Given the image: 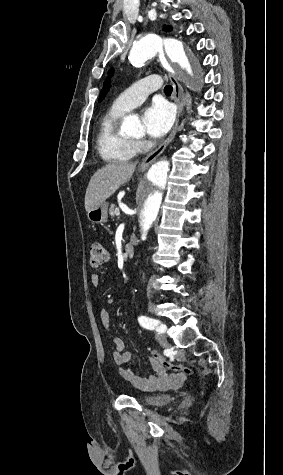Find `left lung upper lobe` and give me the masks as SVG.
<instances>
[{
	"label": "left lung upper lobe",
	"instance_id": "5c2ea615",
	"mask_svg": "<svg viewBox=\"0 0 283 475\" xmlns=\"http://www.w3.org/2000/svg\"><path fill=\"white\" fill-rule=\"evenodd\" d=\"M164 30H165V31L171 30V27H169V26H164ZM113 73H114V70L111 69V70L108 72L109 77L113 76ZM110 87H111V86H110V79H108V80L104 83L103 89L101 90V93H100V96H99V101H102V100L105 98V96H106L107 92L109 91Z\"/></svg>",
	"mask_w": 283,
	"mask_h": 475
}]
</instances>
